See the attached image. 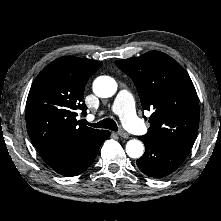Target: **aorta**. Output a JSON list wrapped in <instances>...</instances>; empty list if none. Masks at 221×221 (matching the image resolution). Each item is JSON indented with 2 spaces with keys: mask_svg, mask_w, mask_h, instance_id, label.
Instances as JSON below:
<instances>
[{
  "mask_svg": "<svg viewBox=\"0 0 221 221\" xmlns=\"http://www.w3.org/2000/svg\"><path fill=\"white\" fill-rule=\"evenodd\" d=\"M117 91L116 81L109 76H100L93 83V92L101 98L113 96ZM126 153L131 158H140L144 153V145L137 139H132L126 144Z\"/></svg>",
  "mask_w": 221,
  "mask_h": 221,
  "instance_id": "obj_1",
  "label": "aorta"
}]
</instances>
